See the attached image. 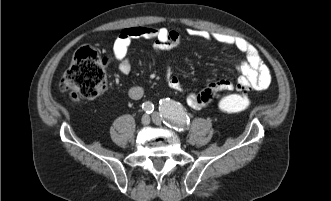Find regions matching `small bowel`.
Here are the masks:
<instances>
[{
  "label": "small bowel",
  "instance_id": "obj_1",
  "mask_svg": "<svg viewBox=\"0 0 331 201\" xmlns=\"http://www.w3.org/2000/svg\"><path fill=\"white\" fill-rule=\"evenodd\" d=\"M190 36L201 38L205 41L217 42L234 47L243 57L237 69L239 76L233 82L222 79L205 85L197 92L187 93V103L190 107L200 109L206 106L216 94L222 91L267 89L271 82L268 66L263 62L256 48L241 37L224 33L210 32L198 29H188ZM136 39H149L154 41L155 48L159 51L177 46L181 42L180 35L167 28H154L150 26H134L122 29L113 43V56L118 62L121 73L129 74L132 65L128 53L132 41ZM164 77L167 85L177 91L184 92V87L170 66L165 67ZM144 90L139 85H132L128 89V96L132 100L142 98Z\"/></svg>",
  "mask_w": 331,
  "mask_h": 201
}]
</instances>
